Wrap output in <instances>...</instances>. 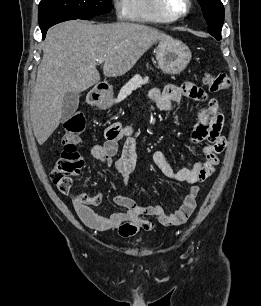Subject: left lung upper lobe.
<instances>
[{"mask_svg": "<svg viewBox=\"0 0 261 306\" xmlns=\"http://www.w3.org/2000/svg\"><path fill=\"white\" fill-rule=\"evenodd\" d=\"M205 20L207 21L208 32L216 37L221 36V29L224 21V8L220 0H198Z\"/></svg>", "mask_w": 261, "mask_h": 306, "instance_id": "obj_1", "label": "left lung upper lobe"}]
</instances>
